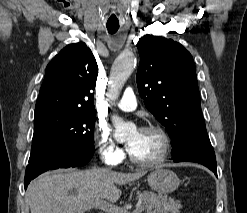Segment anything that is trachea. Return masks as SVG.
<instances>
[{"label": "trachea", "instance_id": "trachea-1", "mask_svg": "<svg viewBox=\"0 0 247 213\" xmlns=\"http://www.w3.org/2000/svg\"><path fill=\"white\" fill-rule=\"evenodd\" d=\"M106 26L110 34H115L119 29V24H107Z\"/></svg>", "mask_w": 247, "mask_h": 213}]
</instances>
